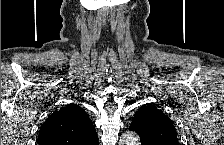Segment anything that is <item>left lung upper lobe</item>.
<instances>
[{
	"mask_svg": "<svg viewBox=\"0 0 224 145\" xmlns=\"http://www.w3.org/2000/svg\"><path fill=\"white\" fill-rule=\"evenodd\" d=\"M132 122H138L141 132L156 145H177V133L172 120L154 105H143Z\"/></svg>",
	"mask_w": 224,
	"mask_h": 145,
	"instance_id": "1",
	"label": "left lung upper lobe"
}]
</instances>
